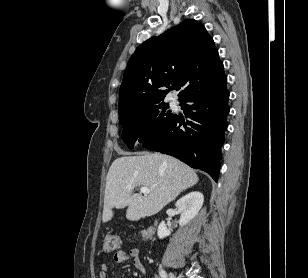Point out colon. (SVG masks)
<instances>
[{
	"label": "colon",
	"instance_id": "1",
	"mask_svg": "<svg viewBox=\"0 0 308 278\" xmlns=\"http://www.w3.org/2000/svg\"><path fill=\"white\" fill-rule=\"evenodd\" d=\"M146 237H152L154 235V227L146 226L145 232L142 233ZM121 240L117 235H108L103 240V249L106 252H112L119 248Z\"/></svg>",
	"mask_w": 308,
	"mask_h": 278
}]
</instances>
